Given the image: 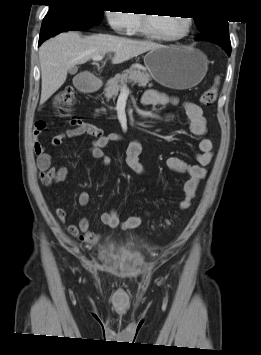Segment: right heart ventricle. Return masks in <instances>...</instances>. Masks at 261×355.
Wrapping results in <instances>:
<instances>
[{
	"label": "right heart ventricle",
	"instance_id": "1",
	"mask_svg": "<svg viewBox=\"0 0 261 355\" xmlns=\"http://www.w3.org/2000/svg\"><path fill=\"white\" fill-rule=\"evenodd\" d=\"M140 23H141L140 17L137 15V21L131 34H137L141 31Z\"/></svg>",
	"mask_w": 261,
	"mask_h": 355
}]
</instances>
